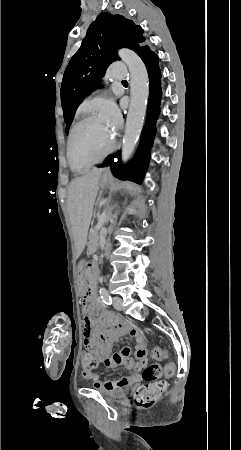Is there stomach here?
<instances>
[{
	"label": "stomach",
	"instance_id": "0dacf381",
	"mask_svg": "<svg viewBox=\"0 0 241 450\" xmlns=\"http://www.w3.org/2000/svg\"><path fill=\"white\" fill-rule=\"evenodd\" d=\"M108 183H109V177L107 175L101 176L99 185L104 188L108 185ZM84 266H85L84 262L81 261L78 265V276H77L78 287L82 293L85 292V286H86Z\"/></svg>",
	"mask_w": 241,
	"mask_h": 450
}]
</instances>
